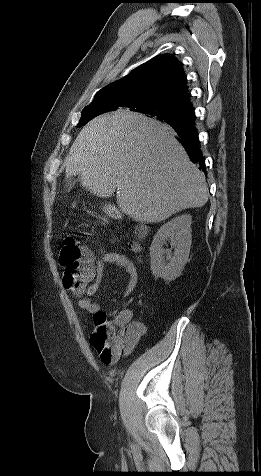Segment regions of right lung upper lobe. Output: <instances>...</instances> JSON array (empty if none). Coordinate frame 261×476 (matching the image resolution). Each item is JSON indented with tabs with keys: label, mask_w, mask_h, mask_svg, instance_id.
I'll use <instances>...</instances> for the list:
<instances>
[{
	"label": "right lung upper lobe",
	"mask_w": 261,
	"mask_h": 476,
	"mask_svg": "<svg viewBox=\"0 0 261 476\" xmlns=\"http://www.w3.org/2000/svg\"><path fill=\"white\" fill-rule=\"evenodd\" d=\"M115 95L120 109H131L155 102L192 110L188 86L182 64L169 54L159 55L140 65L121 78L98 91L94 100Z\"/></svg>",
	"instance_id": "1"
}]
</instances>
